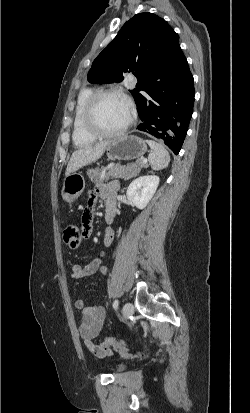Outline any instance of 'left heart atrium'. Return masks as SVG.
<instances>
[{
	"mask_svg": "<svg viewBox=\"0 0 250 413\" xmlns=\"http://www.w3.org/2000/svg\"><path fill=\"white\" fill-rule=\"evenodd\" d=\"M123 100H124V103L126 104L127 108L129 109L130 113H131V110H132L131 109V103L127 99H123Z\"/></svg>",
	"mask_w": 250,
	"mask_h": 413,
	"instance_id": "left-heart-atrium-1",
	"label": "left heart atrium"
}]
</instances>
